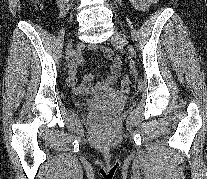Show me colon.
<instances>
[{"label": "colon", "mask_w": 207, "mask_h": 179, "mask_svg": "<svg viewBox=\"0 0 207 179\" xmlns=\"http://www.w3.org/2000/svg\"><path fill=\"white\" fill-rule=\"evenodd\" d=\"M33 2V4L35 5V7L37 9L42 8L43 6V0H31ZM130 77L129 75H126L123 80L121 81V85H120V89L122 92L127 93L130 90Z\"/></svg>", "instance_id": "obj_1"}]
</instances>
